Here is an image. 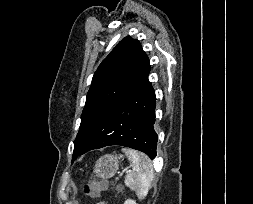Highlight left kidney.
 <instances>
[{"instance_id": "obj_1", "label": "left kidney", "mask_w": 253, "mask_h": 204, "mask_svg": "<svg viewBox=\"0 0 253 204\" xmlns=\"http://www.w3.org/2000/svg\"><path fill=\"white\" fill-rule=\"evenodd\" d=\"M124 204H137L134 200L132 199H127Z\"/></svg>"}]
</instances>
